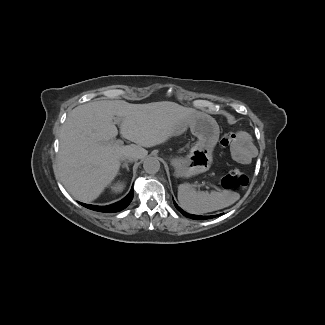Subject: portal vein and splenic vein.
Segmentation results:
<instances>
[{"label":"portal vein and splenic vein","instance_id":"18ae733b","mask_svg":"<svg viewBox=\"0 0 325 325\" xmlns=\"http://www.w3.org/2000/svg\"><path fill=\"white\" fill-rule=\"evenodd\" d=\"M117 123H119V121L117 120L116 121ZM118 144H122L123 142L122 141H117Z\"/></svg>","mask_w":325,"mask_h":325}]
</instances>
